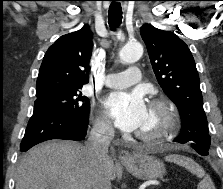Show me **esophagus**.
<instances>
[{
    "label": "esophagus",
    "instance_id": "1",
    "mask_svg": "<svg viewBox=\"0 0 223 189\" xmlns=\"http://www.w3.org/2000/svg\"><path fill=\"white\" fill-rule=\"evenodd\" d=\"M119 159L122 163H129L132 160L131 154L126 150H121L119 152Z\"/></svg>",
    "mask_w": 223,
    "mask_h": 189
}]
</instances>
